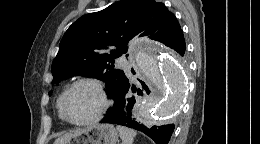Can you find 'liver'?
I'll use <instances>...</instances> for the list:
<instances>
[{"label":"liver","instance_id":"1","mask_svg":"<svg viewBox=\"0 0 260 144\" xmlns=\"http://www.w3.org/2000/svg\"><path fill=\"white\" fill-rule=\"evenodd\" d=\"M82 130H76L73 133H67L60 138L56 139L54 144H67V142L75 135L79 134Z\"/></svg>","mask_w":260,"mask_h":144}]
</instances>
